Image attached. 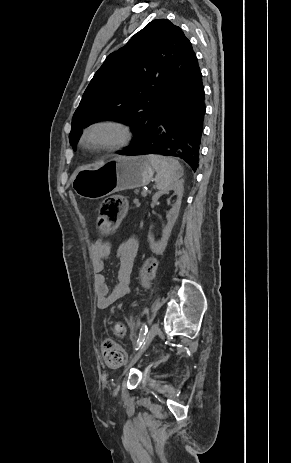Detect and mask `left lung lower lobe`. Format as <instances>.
<instances>
[{"label":"left lung lower lobe","mask_w":291,"mask_h":463,"mask_svg":"<svg viewBox=\"0 0 291 463\" xmlns=\"http://www.w3.org/2000/svg\"><path fill=\"white\" fill-rule=\"evenodd\" d=\"M200 69L175 89L147 131L121 155H163L183 159L195 171L199 164L205 115Z\"/></svg>","instance_id":"0a47b994"}]
</instances>
